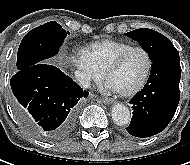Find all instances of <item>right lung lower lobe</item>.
<instances>
[{
  "label": "right lung lower lobe",
  "instance_id": "obj_1",
  "mask_svg": "<svg viewBox=\"0 0 190 165\" xmlns=\"http://www.w3.org/2000/svg\"><path fill=\"white\" fill-rule=\"evenodd\" d=\"M14 111L32 134L48 140L67 137L75 128L78 102L87 91L48 63L18 71L10 80Z\"/></svg>",
  "mask_w": 190,
  "mask_h": 165
}]
</instances>
